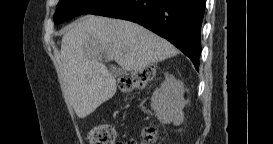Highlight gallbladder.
I'll list each match as a JSON object with an SVG mask.
<instances>
[{
  "instance_id": "gallbladder-1",
  "label": "gallbladder",
  "mask_w": 273,
  "mask_h": 144,
  "mask_svg": "<svg viewBox=\"0 0 273 144\" xmlns=\"http://www.w3.org/2000/svg\"><path fill=\"white\" fill-rule=\"evenodd\" d=\"M108 70L110 73V76H123V70L120 68H117L116 65H111Z\"/></svg>"
}]
</instances>
